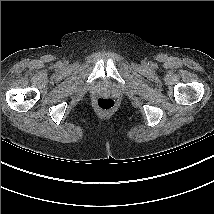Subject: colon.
Returning a JSON list of instances; mask_svg holds the SVG:
<instances>
[{
  "instance_id": "1",
  "label": "colon",
  "mask_w": 214,
  "mask_h": 214,
  "mask_svg": "<svg viewBox=\"0 0 214 214\" xmlns=\"http://www.w3.org/2000/svg\"><path fill=\"white\" fill-rule=\"evenodd\" d=\"M97 106L101 111H109L115 106V101L109 97H101L97 100Z\"/></svg>"
}]
</instances>
